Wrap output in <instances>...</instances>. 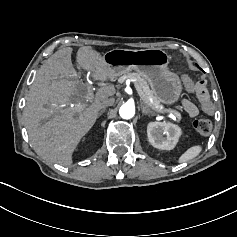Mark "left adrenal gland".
I'll return each instance as SVG.
<instances>
[{
    "mask_svg": "<svg viewBox=\"0 0 237 237\" xmlns=\"http://www.w3.org/2000/svg\"><path fill=\"white\" fill-rule=\"evenodd\" d=\"M140 107L143 115L152 114V111L145 105V103L141 102Z\"/></svg>",
    "mask_w": 237,
    "mask_h": 237,
    "instance_id": "obj_1",
    "label": "left adrenal gland"
}]
</instances>
